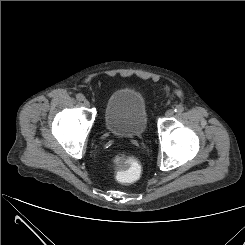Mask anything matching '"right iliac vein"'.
<instances>
[{
    "mask_svg": "<svg viewBox=\"0 0 245 245\" xmlns=\"http://www.w3.org/2000/svg\"><path fill=\"white\" fill-rule=\"evenodd\" d=\"M84 105H85L86 107H89V106H90L89 101H88V100H84Z\"/></svg>",
    "mask_w": 245,
    "mask_h": 245,
    "instance_id": "1",
    "label": "right iliac vein"
}]
</instances>
